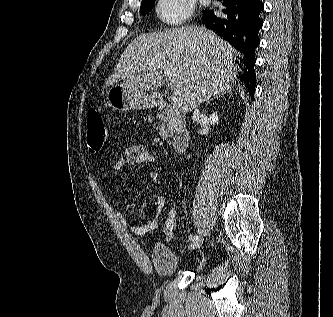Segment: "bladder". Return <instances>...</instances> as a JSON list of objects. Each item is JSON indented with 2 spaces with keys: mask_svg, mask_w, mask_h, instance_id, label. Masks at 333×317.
Wrapping results in <instances>:
<instances>
[{
  "mask_svg": "<svg viewBox=\"0 0 333 317\" xmlns=\"http://www.w3.org/2000/svg\"><path fill=\"white\" fill-rule=\"evenodd\" d=\"M151 261L155 271L162 276L176 274L181 263L176 254L164 244H156L151 251Z\"/></svg>",
  "mask_w": 333,
  "mask_h": 317,
  "instance_id": "obj_1",
  "label": "bladder"
}]
</instances>
